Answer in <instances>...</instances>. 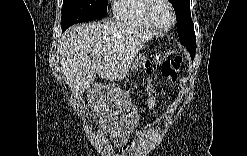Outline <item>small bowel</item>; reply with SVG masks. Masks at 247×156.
Returning <instances> with one entry per match:
<instances>
[{
	"label": "small bowel",
	"mask_w": 247,
	"mask_h": 156,
	"mask_svg": "<svg viewBox=\"0 0 247 156\" xmlns=\"http://www.w3.org/2000/svg\"><path fill=\"white\" fill-rule=\"evenodd\" d=\"M143 67L147 72L151 71V65L150 64H144ZM148 95H149L148 104H149L150 107H153L154 104H155V99L156 98H155V92H154V90L152 89L151 86H149Z\"/></svg>",
	"instance_id": "small-bowel-1"
}]
</instances>
